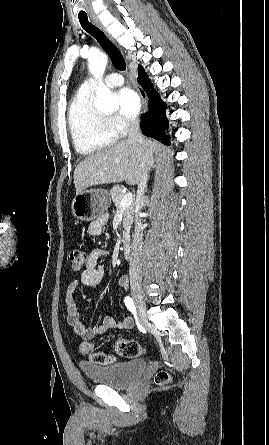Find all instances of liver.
Returning <instances> with one entry per match:
<instances>
[{
    "mask_svg": "<svg viewBox=\"0 0 269 445\" xmlns=\"http://www.w3.org/2000/svg\"><path fill=\"white\" fill-rule=\"evenodd\" d=\"M157 147L154 140H146L145 145L122 140L86 157L74 171L76 194L94 185L123 181L138 184L145 161L148 163Z\"/></svg>",
    "mask_w": 269,
    "mask_h": 445,
    "instance_id": "liver-1",
    "label": "liver"
}]
</instances>
